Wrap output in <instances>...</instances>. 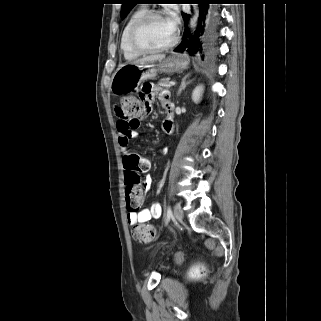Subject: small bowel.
Masks as SVG:
<instances>
[{"mask_svg": "<svg viewBox=\"0 0 321 321\" xmlns=\"http://www.w3.org/2000/svg\"><path fill=\"white\" fill-rule=\"evenodd\" d=\"M141 85L142 87H139L138 91H134V98H143L144 102L153 105L155 103L153 95L156 94L167 113L166 118L163 122V129L167 133L171 132L173 129V118H170V114H172V102L170 100L168 91L153 86L151 80H142ZM116 127L118 132V143L123 153V164L125 167L127 160L132 155L136 154L129 148V142L131 139L138 136V132L136 130L138 125H132L118 118ZM144 183L146 187H149L152 183L151 177L146 176ZM161 213V205L159 203H153L147 209H143L140 211H129L127 213V222L131 226L144 224L151 219H158L161 216Z\"/></svg>", "mask_w": 321, "mask_h": 321, "instance_id": "obj_1", "label": "small bowel"}]
</instances>
